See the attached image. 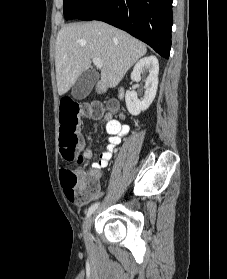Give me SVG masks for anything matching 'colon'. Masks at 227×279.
Wrapping results in <instances>:
<instances>
[{
  "label": "colon",
  "instance_id": "5ec220e1",
  "mask_svg": "<svg viewBox=\"0 0 227 279\" xmlns=\"http://www.w3.org/2000/svg\"><path fill=\"white\" fill-rule=\"evenodd\" d=\"M112 112H117L115 102L110 103ZM102 114V108L97 105L78 104L75 101H63L60 105L59 150L63 159L72 161L78 153L81 140L77 132V124L81 117H96ZM78 163L84 161V156L77 157ZM61 181L67 195L73 197L76 203H86L97 191L94 178L86 179L78 169H67L61 172Z\"/></svg>",
  "mask_w": 227,
  "mask_h": 279
}]
</instances>
